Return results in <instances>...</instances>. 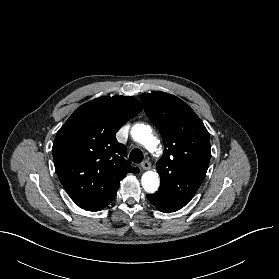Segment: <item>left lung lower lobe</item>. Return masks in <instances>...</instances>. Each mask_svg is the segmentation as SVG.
I'll return each instance as SVG.
<instances>
[{
    "label": "left lung lower lobe",
    "instance_id": "left-lung-lower-lobe-1",
    "mask_svg": "<svg viewBox=\"0 0 279 279\" xmlns=\"http://www.w3.org/2000/svg\"><path fill=\"white\" fill-rule=\"evenodd\" d=\"M147 198L157 209L165 213L175 212L190 201L186 198L166 196L158 192L148 194Z\"/></svg>",
    "mask_w": 279,
    "mask_h": 279
}]
</instances>
